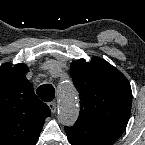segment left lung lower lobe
Instances as JSON below:
<instances>
[{"label":"left lung lower lobe","mask_w":145,"mask_h":145,"mask_svg":"<svg viewBox=\"0 0 145 145\" xmlns=\"http://www.w3.org/2000/svg\"><path fill=\"white\" fill-rule=\"evenodd\" d=\"M125 128V125L75 123L65 127V131L72 145H112Z\"/></svg>","instance_id":"obj_1"}]
</instances>
